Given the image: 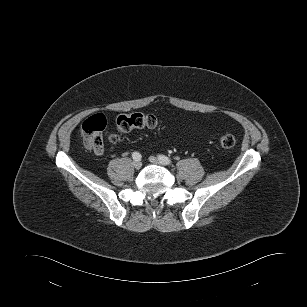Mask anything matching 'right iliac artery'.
Returning <instances> with one entry per match:
<instances>
[{
  "instance_id": "right-iliac-artery-1",
  "label": "right iliac artery",
  "mask_w": 307,
  "mask_h": 307,
  "mask_svg": "<svg viewBox=\"0 0 307 307\" xmlns=\"http://www.w3.org/2000/svg\"><path fill=\"white\" fill-rule=\"evenodd\" d=\"M132 158H133L134 160H140V159H141V155H140L139 152H133V153H132Z\"/></svg>"
}]
</instances>
